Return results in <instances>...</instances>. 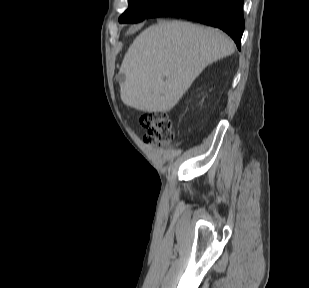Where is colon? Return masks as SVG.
Instances as JSON below:
<instances>
[{
	"label": "colon",
	"instance_id": "1",
	"mask_svg": "<svg viewBox=\"0 0 309 288\" xmlns=\"http://www.w3.org/2000/svg\"><path fill=\"white\" fill-rule=\"evenodd\" d=\"M140 124L147 130L144 141L151 147H168L174 139L173 124L165 111L142 114Z\"/></svg>",
	"mask_w": 309,
	"mask_h": 288
}]
</instances>
